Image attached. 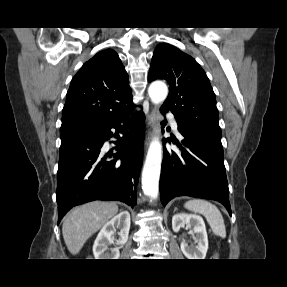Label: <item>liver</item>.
Returning a JSON list of instances; mask_svg holds the SVG:
<instances>
[{
	"instance_id": "1",
	"label": "liver",
	"mask_w": 287,
	"mask_h": 287,
	"mask_svg": "<svg viewBox=\"0 0 287 287\" xmlns=\"http://www.w3.org/2000/svg\"><path fill=\"white\" fill-rule=\"evenodd\" d=\"M118 213L114 202L94 201L71 210L62 226L64 242L73 255L79 253L85 242Z\"/></svg>"
}]
</instances>
